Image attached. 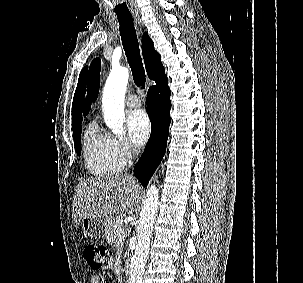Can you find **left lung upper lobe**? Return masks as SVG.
Listing matches in <instances>:
<instances>
[{"label":"left lung upper lobe","mask_w":303,"mask_h":283,"mask_svg":"<svg viewBox=\"0 0 303 283\" xmlns=\"http://www.w3.org/2000/svg\"><path fill=\"white\" fill-rule=\"evenodd\" d=\"M92 74L90 76L89 85H88V97L85 103V112L86 115L91 107V102L95 101L97 98V92L99 88V73L101 68V61L99 58L93 60L91 64Z\"/></svg>","instance_id":"obj_1"}]
</instances>
